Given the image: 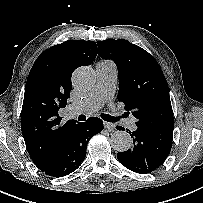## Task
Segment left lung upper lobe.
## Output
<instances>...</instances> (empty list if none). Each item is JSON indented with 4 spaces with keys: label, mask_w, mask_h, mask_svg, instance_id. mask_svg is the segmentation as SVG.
Wrapping results in <instances>:
<instances>
[{
    "label": "left lung upper lobe",
    "mask_w": 203,
    "mask_h": 203,
    "mask_svg": "<svg viewBox=\"0 0 203 203\" xmlns=\"http://www.w3.org/2000/svg\"><path fill=\"white\" fill-rule=\"evenodd\" d=\"M103 59L113 60L119 74L118 101L137 118L136 126L173 135L169 88L155 58L125 39L98 41Z\"/></svg>",
    "instance_id": "5c2ea615"
}]
</instances>
